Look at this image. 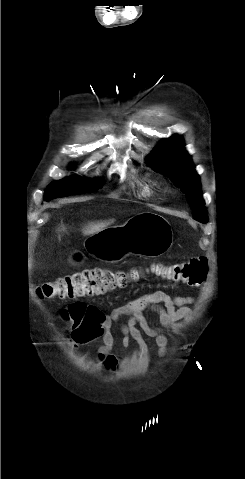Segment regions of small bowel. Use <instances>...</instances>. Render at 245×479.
Here are the masks:
<instances>
[{
  "mask_svg": "<svg viewBox=\"0 0 245 479\" xmlns=\"http://www.w3.org/2000/svg\"><path fill=\"white\" fill-rule=\"evenodd\" d=\"M193 302L192 296H171L163 291H152L128 301L110 313H104L97 306L88 304L85 332L91 337L102 339L100 358L108 370L116 366V358L107 355L115 344L111 332L114 324L119 327L122 335L120 344L124 349L134 341L140 354L146 357L149 353V345L144 338L146 335L154 339L157 353L163 357L167 353V338L158 327L149 323L145 311L154 313L163 328L171 329L177 322L191 317L189 305Z\"/></svg>",
  "mask_w": 245,
  "mask_h": 479,
  "instance_id": "obj_1",
  "label": "small bowel"
}]
</instances>
